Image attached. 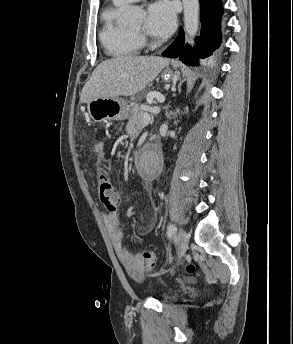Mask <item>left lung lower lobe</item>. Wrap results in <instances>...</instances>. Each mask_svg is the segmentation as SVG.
I'll return each mask as SVG.
<instances>
[{
    "label": "left lung lower lobe",
    "instance_id": "obj_1",
    "mask_svg": "<svg viewBox=\"0 0 293 344\" xmlns=\"http://www.w3.org/2000/svg\"><path fill=\"white\" fill-rule=\"evenodd\" d=\"M201 4V35L196 38V47L185 45L182 27L175 41L162 53V56L179 58L189 66H196L199 59H204L220 46L222 37L220 22L223 15L221 0H200Z\"/></svg>",
    "mask_w": 293,
    "mask_h": 344
}]
</instances>
